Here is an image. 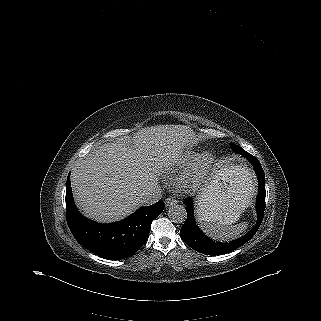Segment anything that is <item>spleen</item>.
Returning a JSON list of instances; mask_svg holds the SVG:
<instances>
[{
	"mask_svg": "<svg viewBox=\"0 0 321 321\" xmlns=\"http://www.w3.org/2000/svg\"><path fill=\"white\" fill-rule=\"evenodd\" d=\"M200 227L214 239L229 240L242 234L248 227L247 222L230 225L225 213L218 206L201 209L197 212Z\"/></svg>",
	"mask_w": 321,
	"mask_h": 321,
	"instance_id": "1",
	"label": "spleen"
}]
</instances>
